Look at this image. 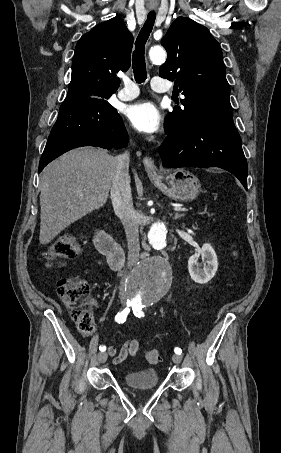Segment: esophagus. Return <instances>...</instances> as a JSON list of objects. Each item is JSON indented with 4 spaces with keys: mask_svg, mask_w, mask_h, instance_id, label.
Returning a JSON list of instances; mask_svg holds the SVG:
<instances>
[{
    "mask_svg": "<svg viewBox=\"0 0 281 453\" xmlns=\"http://www.w3.org/2000/svg\"><path fill=\"white\" fill-rule=\"evenodd\" d=\"M143 165L148 175H157L158 169L150 157L143 158Z\"/></svg>",
    "mask_w": 281,
    "mask_h": 453,
    "instance_id": "1",
    "label": "esophagus"
}]
</instances>
